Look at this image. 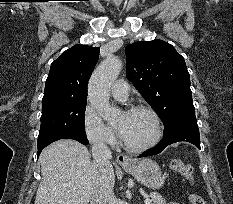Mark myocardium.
Returning a JSON list of instances; mask_svg holds the SVG:
<instances>
[{"instance_id":"obj_1","label":"myocardium","mask_w":233,"mask_h":204,"mask_svg":"<svg viewBox=\"0 0 233 204\" xmlns=\"http://www.w3.org/2000/svg\"><path fill=\"white\" fill-rule=\"evenodd\" d=\"M127 113H133V112H145L147 114H149L155 124V135L154 137L146 144L143 145H131L130 143H128L122 136V134L120 133V139L122 142V145L124 146V148L130 152H134V153H141V152H145L148 151L152 148H154L162 139L163 137V133H164V129H163V124H162V120L159 116V114L151 107L146 106V105H133L131 107H129L126 110Z\"/></svg>"}]
</instances>
